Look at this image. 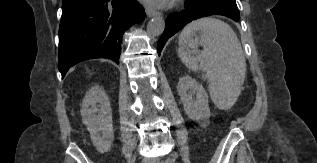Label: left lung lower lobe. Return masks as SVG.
<instances>
[{
    "label": "left lung lower lobe",
    "instance_id": "1",
    "mask_svg": "<svg viewBox=\"0 0 317 163\" xmlns=\"http://www.w3.org/2000/svg\"><path fill=\"white\" fill-rule=\"evenodd\" d=\"M185 7L186 10L183 13L167 18L165 30L157 45L159 55L168 38L173 36L186 24L193 20L210 15H223L235 21H238L240 18L238 9L216 2H206L204 0H186Z\"/></svg>",
    "mask_w": 317,
    "mask_h": 163
}]
</instances>
